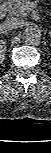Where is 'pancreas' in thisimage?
<instances>
[{"label": "pancreas", "mask_w": 51, "mask_h": 153, "mask_svg": "<svg viewBox=\"0 0 51 153\" xmlns=\"http://www.w3.org/2000/svg\"><path fill=\"white\" fill-rule=\"evenodd\" d=\"M29 0H17L14 4L8 7L9 16L25 17L29 12Z\"/></svg>", "instance_id": "1"}]
</instances>
